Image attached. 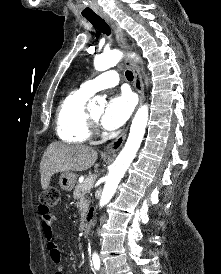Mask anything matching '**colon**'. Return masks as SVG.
I'll return each instance as SVG.
<instances>
[{
  "instance_id": "5ec220e1",
  "label": "colon",
  "mask_w": 221,
  "mask_h": 274,
  "mask_svg": "<svg viewBox=\"0 0 221 274\" xmlns=\"http://www.w3.org/2000/svg\"><path fill=\"white\" fill-rule=\"evenodd\" d=\"M61 196L57 188H49L40 196V202L49 208H55L60 205Z\"/></svg>"
}]
</instances>
